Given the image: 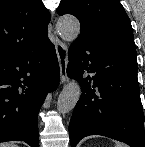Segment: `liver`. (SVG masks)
<instances>
[{
	"instance_id": "liver-1",
	"label": "liver",
	"mask_w": 145,
	"mask_h": 147,
	"mask_svg": "<svg viewBox=\"0 0 145 147\" xmlns=\"http://www.w3.org/2000/svg\"><path fill=\"white\" fill-rule=\"evenodd\" d=\"M0 147H18V146L14 143H3L0 144Z\"/></svg>"
}]
</instances>
